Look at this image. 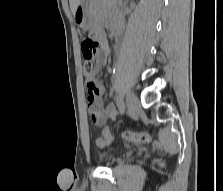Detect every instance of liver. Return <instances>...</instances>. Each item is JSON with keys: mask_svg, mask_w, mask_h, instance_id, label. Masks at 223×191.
<instances>
[{"mask_svg": "<svg viewBox=\"0 0 223 191\" xmlns=\"http://www.w3.org/2000/svg\"><path fill=\"white\" fill-rule=\"evenodd\" d=\"M82 0H69L71 11L74 15L75 10Z\"/></svg>", "mask_w": 223, "mask_h": 191, "instance_id": "liver-1", "label": "liver"}]
</instances>
